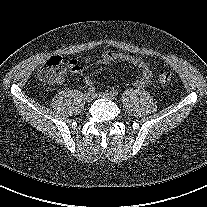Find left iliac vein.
I'll return each instance as SVG.
<instances>
[{
  "mask_svg": "<svg viewBox=\"0 0 207 207\" xmlns=\"http://www.w3.org/2000/svg\"><path fill=\"white\" fill-rule=\"evenodd\" d=\"M97 98H106V99H110V100H113L114 99V96L111 94V93H97L95 95Z\"/></svg>",
  "mask_w": 207,
  "mask_h": 207,
  "instance_id": "4c4485c4",
  "label": "left iliac vein"
}]
</instances>
